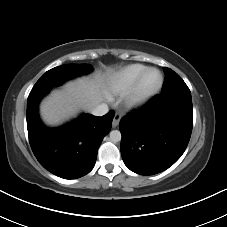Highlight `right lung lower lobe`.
Instances as JSON below:
<instances>
[{
    "label": "right lung lower lobe",
    "instance_id": "right-lung-lower-lobe-1",
    "mask_svg": "<svg viewBox=\"0 0 227 227\" xmlns=\"http://www.w3.org/2000/svg\"><path fill=\"white\" fill-rule=\"evenodd\" d=\"M46 93L27 101V129L32 151L52 174L65 179L80 178L93 169L98 148L111 129L114 112L102 117L83 114L65 126L47 128L38 115V104Z\"/></svg>",
    "mask_w": 227,
    "mask_h": 227
}]
</instances>
